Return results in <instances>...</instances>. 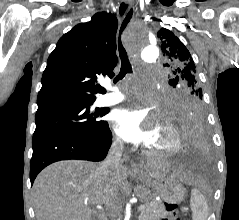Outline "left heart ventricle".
Wrapping results in <instances>:
<instances>
[{
    "label": "left heart ventricle",
    "instance_id": "b2bd125f",
    "mask_svg": "<svg viewBox=\"0 0 239 220\" xmlns=\"http://www.w3.org/2000/svg\"><path fill=\"white\" fill-rule=\"evenodd\" d=\"M171 138L163 125L157 124L154 130L153 137L147 145L156 148H166L169 146Z\"/></svg>",
    "mask_w": 239,
    "mask_h": 220
}]
</instances>
